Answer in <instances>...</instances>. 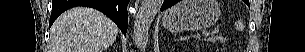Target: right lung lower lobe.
Segmentation results:
<instances>
[{
    "mask_svg": "<svg viewBox=\"0 0 305 52\" xmlns=\"http://www.w3.org/2000/svg\"><path fill=\"white\" fill-rule=\"evenodd\" d=\"M130 0H53L49 27L64 11L75 6L95 8L107 15L126 36L128 25L127 5Z\"/></svg>",
    "mask_w": 305,
    "mask_h": 52,
    "instance_id": "right-lung-lower-lobe-1",
    "label": "right lung lower lobe"
}]
</instances>
